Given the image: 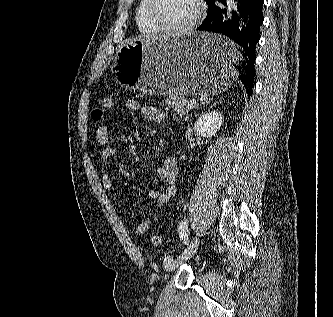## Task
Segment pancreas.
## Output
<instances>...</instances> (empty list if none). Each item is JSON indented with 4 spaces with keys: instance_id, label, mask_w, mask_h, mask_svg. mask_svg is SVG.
<instances>
[{
    "instance_id": "pancreas-1",
    "label": "pancreas",
    "mask_w": 333,
    "mask_h": 317,
    "mask_svg": "<svg viewBox=\"0 0 333 317\" xmlns=\"http://www.w3.org/2000/svg\"><path fill=\"white\" fill-rule=\"evenodd\" d=\"M165 103L180 115H184L195 108L194 105L190 104V100L179 95H170L165 99Z\"/></svg>"
}]
</instances>
